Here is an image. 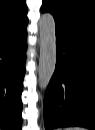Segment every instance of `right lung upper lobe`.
Listing matches in <instances>:
<instances>
[{
	"label": "right lung upper lobe",
	"mask_w": 95,
	"mask_h": 130,
	"mask_svg": "<svg viewBox=\"0 0 95 130\" xmlns=\"http://www.w3.org/2000/svg\"><path fill=\"white\" fill-rule=\"evenodd\" d=\"M27 12L25 0H0V41L26 30Z\"/></svg>",
	"instance_id": "1"
}]
</instances>
